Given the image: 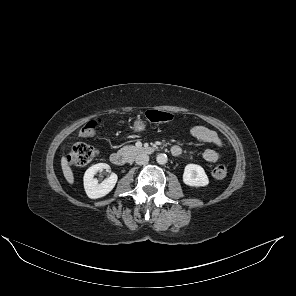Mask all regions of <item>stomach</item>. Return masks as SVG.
Wrapping results in <instances>:
<instances>
[{
    "instance_id": "obj_1",
    "label": "stomach",
    "mask_w": 296,
    "mask_h": 296,
    "mask_svg": "<svg viewBox=\"0 0 296 296\" xmlns=\"http://www.w3.org/2000/svg\"><path fill=\"white\" fill-rule=\"evenodd\" d=\"M145 128V124L142 120H137L134 123V130L135 131H142Z\"/></svg>"
}]
</instances>
